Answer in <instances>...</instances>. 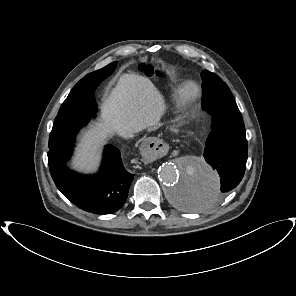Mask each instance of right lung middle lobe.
I'll use <instances>...</instances> for the list:
<instances>
[{"label":"right lung middle lobe","mask_w":296,"mask_h":296,"mask_svg":"<svg viewBox=\"0 0 296 296\" xmlns=\"http://www.w3.org/2000/svg\"><path fill=\"white\" fill-rule=\"evenodd\" d=\"M116 62L94 71L82 78L72 89L60 107L55 118L49 138V147L74 141L78 131L95 117L96 104L94 91L96 87L115 69Z\"/></svg>","instance_id":"right-lung-middle-lobe-1"}]
</instances>
